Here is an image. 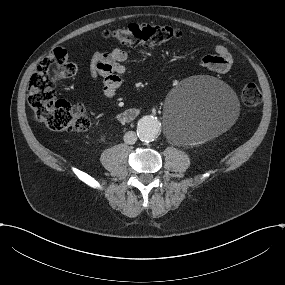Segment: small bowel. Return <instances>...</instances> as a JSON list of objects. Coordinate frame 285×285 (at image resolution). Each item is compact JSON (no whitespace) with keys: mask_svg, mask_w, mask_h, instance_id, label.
<instances>
[{"mask_svg":"<svg viewBox=\"0 0 285 285\" xmlns=\"http://www.w3.org/2000/svg\"><path fill=\"white\" fill-rule=\"evenodd\" d=\"M213 50L212 54L202 58V66L221 74L229 72L233 59L227 47L217 44ZM127 59V52L120 48H115L110 52L95 51L93 53L87 72L95 82L100 84L101 91L106 97L111 98L116 94L126 71Z\"/></svg>","mask_w":285,"mask_h":285,"instance_id":"obj_1","label":"small bowel"}]
</instances>
